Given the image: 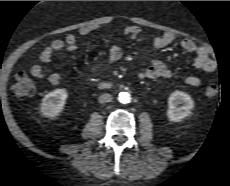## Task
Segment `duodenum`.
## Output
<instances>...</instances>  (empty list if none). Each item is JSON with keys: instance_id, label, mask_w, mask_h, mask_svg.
Masks as SVG:
<instances>
[{"instance_id": "410a0bca", "label": "duodenum", "mask_w": 230, "mask_h": 186, "mask_svg": "<svg viewBox=\"0 0 230 186\" xmlns=\"http://www.w3.org/2000/svg\"><path fill=\"white\" fill-rule=\"evenodd\" d=\"M110 84L109 83H100L99 85H98V88H100V89H108V88H110Z\"/></svg>"}]
</instances>
